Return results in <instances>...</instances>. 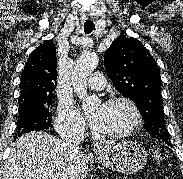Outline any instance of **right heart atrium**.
Here are the masks:
<instances>
[{
    "label": "right heart atrium",
    "mask_w": 183,
    "mask_h": 179,
    "mask_svg": "<svg viewBox=\"0 0 183 179\" xmlns=\"http://www.w3.org/2000/svg\"><path fill=\"white\" fill-rule=\"evenodd\" d=\"M56 128L62 135L83 134L85 122L70 102L62 101L58 106Z\"/></svg>",
    "instance_id": "right-heart-atrium-1"
}]
</instances>
